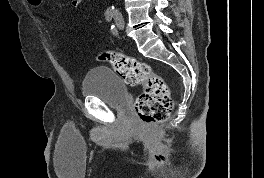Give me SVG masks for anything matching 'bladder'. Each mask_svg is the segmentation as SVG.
I'll list each match as a JSON object with an SVG mask.
<instances>
[{"label": "bladder", "mask_w": 264, "mask_h": 178, "mask_svg": "<svg viewBox=\"0 0 264 178\" xmlns=\"http://www.w3.org/2000/svg\"><path fill=\"white\" fill-rule=\"evenodd\" d=\"M81 91L84 98L98 99L111 108H122L128 101L124 81L107 67L90 69L82 80Z\"/></svg>", "instance_id": "1"}]
</instances>
